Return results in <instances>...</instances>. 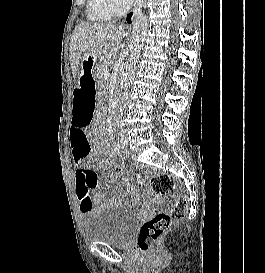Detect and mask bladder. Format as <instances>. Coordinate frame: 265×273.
I'll list each match as a JSON object with an SVG mask.
<instances>
[{"instance_id": "obj_1", "label": "bladder", "mask_w": 265, "mask_h": 273, "mask_svg": "<svg viewBox=\"0 0 265 273\" xmlns=\"http://www.w3.org/2000/svg\"><path fill=\"white\" fill-rule=\"evenodd\" d=\"M137 221V212L130 206L97 208L89 212L84 234L90 241L121 248L134 234Z\"/></svg>"}]
</instances>
